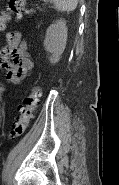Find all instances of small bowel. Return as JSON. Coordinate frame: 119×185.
Listing matches in <instances>:
<instances>
[{"instance_id": "c3829d8e", "label": "small bowel", "mask_w": 119, "mask_h": 185, "mask_svg": "<svg viewBox=\"0 0 119 185\" xmlns=\"http://www.w3.org/2000/svg\"><path fill=\"white\" fill-rule=\"evenodd\" d=\"M0 66L7 71V79L19 83L33 69L25 41L18 31L6 34V45L0 49Z\"/></svg>"}]
</instances>
